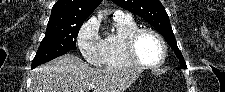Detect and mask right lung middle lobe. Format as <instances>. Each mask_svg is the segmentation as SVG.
Returning <instances> with one entry per match:
<instances>
[{"label": "right lung middle lobe", "instance_id": "dd1d6c3e", "mask_svg": "<svg viewBox=\"0 0 225 92\" xmlns=\"http://www.w3.org/2000/svg\"><path fill=\"white\" fill-rule=\"evenodd\" d=\"M84 20H73L65 24L48 25L31 68L46 63L76 49V38Z\"/></svg>", "mask_w": 225, "mask_h": 92}]
</instances>
